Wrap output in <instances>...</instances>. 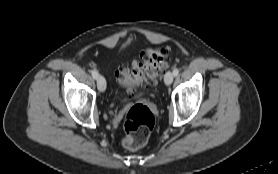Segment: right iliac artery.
<instances>
[{
    "label": "right iliac artery",
    "instance_id": "82829eb1",
    "mask_svg": "<svg viewBox=\"0 0 278 174\" xmlns=\"http://www.w3.org/2000/svg\"><path fill=\"white\" fill-rule=\"evenodd\" d=\"M91 74H92V77H93L94 79H97L98 76H99V73H98L97 70H92V71H91Z\"/></svg>",
    "mask_w": 278,
    "mask_h": 174
}]
</instances>
